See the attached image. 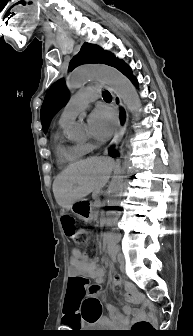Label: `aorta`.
Wrapping results in <instances>:
<instances>
[{"label":"aorta","instance_id":"762f6f07","mask_svg":"<svg viewBox=\"0 0 193 336\" xmlns=\"http://www.w3.org/2000/svg\"><path fill=\"white\" fill-rule=\"evenodd\" d=\"M93 79H98L111 86L126 105L127 109L139 119L141 101L133 84L117 69L106 65H84L75 68L69 75L67 87L75 90ZM68 136L71 140L78 141L84 136L81 124L73 123L69 126ZM124 168H119L117 175L111 181L108 200L109 206L119 205V198L123 192L124 183L122 174Z\"/></svg>","mask_w":193,"mask_h":336}]
</instances>
